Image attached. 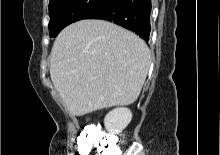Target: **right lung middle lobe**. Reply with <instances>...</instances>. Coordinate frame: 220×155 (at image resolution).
<instances>
[{
	"mask_svg": "<svg viewBox=\"0 0 220 155\" xmlns=\"http://www.w3.org/2000/svg\"><path fill=\"white\" fill-rule=\"evenodd\" d=\"M116 0H53L49 3V34L55 37L67 25L85 19Z\"/></svg>",
	"mask_w": 220,
	"mask_h": 155,
	"instance_id": "dd1d6c3e",
	"label": "right lung middle lobe"
}]
</instances>
